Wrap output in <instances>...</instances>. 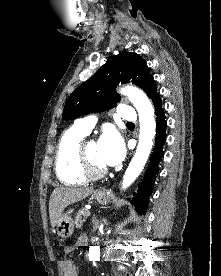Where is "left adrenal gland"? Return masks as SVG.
Returning a JSON list of instances; mask_svg holds the SVG:
<instances>
[{
  "label": "left adrenal gland",
  "mask_w": 221,
  "mask_h": 276,
  "mask_svg": "<svg viewBox=\"0 0 221 276\" xmlns=\"http://www.w3.org/2000/svg\"><path fill=\"white\" fill-rule=\"evenodd\" d=\"M93 224H94L93 230H96L98 228V225H99L98 221L96 220V217H93Z\"/></svg>",
  "instance_id": "obj_1"
}]
</instances>
